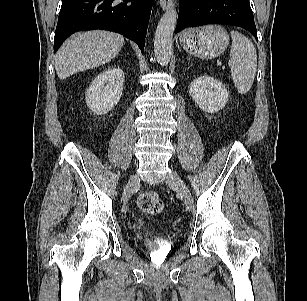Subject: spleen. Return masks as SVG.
<instances>
[{
    "mask_svg": "<svg viewBox=\"0 0 307 301\" xmlns=\"http://www.w3.org/2000/svg\"><path fill=\"white\" fill-rule=\"evenodd\" d=\"M232 46L229 67L232 79L239 93H247L254 82L257 72V53L252 42L238 31L230 32Z\"/></svg>",
    "mask_w": 307,
    "mask_h": 301,
    "instance_id": "1",
    "label": "spleen"
}]
</instances>
